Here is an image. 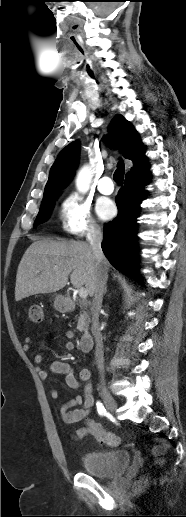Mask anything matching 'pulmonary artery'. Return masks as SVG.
I'll return each mask as SVG.
<instances>
[{
    "instance_id": "1",
    "label": "pulmonary artery",
    "mask_w": 186,
    "mask_h": 517,
    "mask_svg": "<svg viewBox=\"0 0 186 517\" xmlns=\"http://www.w3.org/2000/svg\"><path fill=\"white\" fill-rule=\"evenodd\" d=\"M98 190L100 193L104 195L112 194L114 190L112 179L107 175L101 177V179L98 182Z\"/></svg>"
}]
</instances>
